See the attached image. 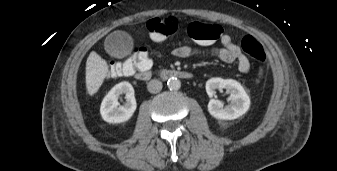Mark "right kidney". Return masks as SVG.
Masks as SVG:
<instances>
[{
    "instance_id": "1",
    "label": "right kidney",
    "mask_w": 337,
    "mask_h": 171,
    "mask_svg": "<svg viewBox=\"0 0 337 171\" xmlns=\"http://www.w3.org/2000/svg\"><path fill=\"white\" fill-rule=\"evenodd\" d=\"M121 94H125L126 103L119 106L118 98ZM136 107L134 89L129 82L124 81L116 84L104 97L100 107V114L106 122L121 123L132 117Z\"/></svg>"
}]
</instances>
